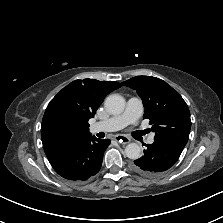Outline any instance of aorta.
Here are the masks:
<instances>
[{
    "label": "aorta",
    "mask_w": 223,
    "mask_h": 223,
    "mask_svg": "<svg viewBox=\"0 0 223 223\" xmlns=\"http://www.w3.org/2000/svg\"><path fill=\"white\" fill-rule=\"evenodd\" d=\"M105 108L111 114H120L125 109V99L119 94H111L105 100ZM125 155L130 159L141 157V148L137 143H130L125 148Z\"/></svg>",
    "instance_id": "obj_1"
}]
</instances>
